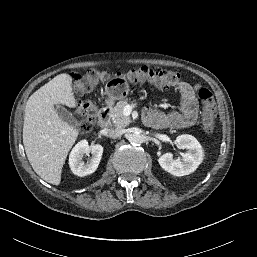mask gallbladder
<instances>
[{
    "instance_id": "obj_1",
    "label": "gallbladder",
    "mask_w": 257,
    "mask_h": 257,
    "mask_svg": "<svg viewBox=\"0 0 257 257\" xmlns=\"http://www.w3.org/2000/svg\"><path fill=\"white\" fill-rule=\"evenodd\" d=\"M55 110L58 114V116L65 121L66 123H68L69 125H76V119L75 117H73V115L63 106H55Z\"/></svg>"
}]
</instances>
